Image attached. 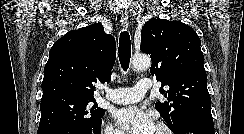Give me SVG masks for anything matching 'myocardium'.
<instances>
[{
  "label": "myocardium",
  "instance_id": "myocardium-1",
  "mask_svg": "<svg viewBox=\"0 0 244 134\" xmlns=\"http://www.w3.org/2000/svg\"><path fill=\"white\" fill-rule=\"evenodd\" d=\"M156 127H157L160 131H162L164 134H174L173 131L171 130V128H170L167 124H165V123H163V122H158V123L156 124Z\"/></svg>",
  "mask_w": 244,
  "mask_h": 134
}]
</instances>
